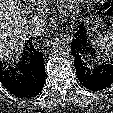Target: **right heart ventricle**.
<instances>
[{
    "mask_svg": "<svg viewBox=\"0 0 113 113\" xmlns=\"http://www.w3.org/2000/svg\"><path fill=\"white\" fill-rule=\"evenodd\" d=\"M34 9L38 11H46L66 0H26Z\"/></svg>",
    "mask_w": 113,
    "mask_h": 113,
    "instance_id": "right-heart-ventricle-1",
    "label": "right heart ventricle"
}]
</instances>
